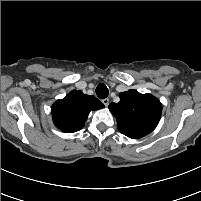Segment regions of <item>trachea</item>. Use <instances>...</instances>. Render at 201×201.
<instances>
[{
  "label": "trachea",
  "mask_w": 201,
  "mask_h": 201,
  "mask_svg": "<svg viewBox=\"0 0 201 201\" xmlns=\"http://www.w3.org/2000/svg\"><path fill=\"white\" fill-rule=\"evenodd\" d=\"M96 94L100 99H105L109 95V90L105 84L101 83L96 87Z\"/></svg>",
  "instance_id": "obj_1"
}]
</instances>
